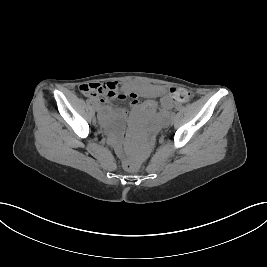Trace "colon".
Returning a JSON list of instances; mask_svg holds the SVG:
<instances>
[{
	"instance_id": "colon-1",
	"label": "colon",
	"mask_w": 267,
	"mask_h": 267,
	"mask_svg": "<svg viewBox=\"0 0 267 267\" xmlns=\"http://www.w3.org/2000/svg\"><path fill=\"white\" fill-rule=\"evenodd\" d=\"M85 85L86 87L81 93L87 97H101L106 100H114L122 97L114 87H107L106 85L99 83H88ZM192 96V93L184 88H175L172 90V97L180 103L190 101ZM137 167L138 164L130 162L125 163V168L129 171H133Z\"/></svg>"
}]
</instances>
